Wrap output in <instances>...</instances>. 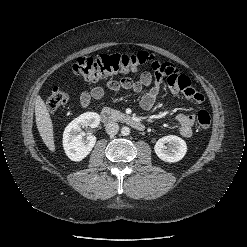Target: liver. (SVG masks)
Wrapping results in <instances>:
<instances>
[{
	"instance_id": "1",
	"label": "liver",
	"mask_w": 247,
	"mask_h": 247,
	"mask_svg": "<svg viewBox=\"0 0 247 247\" xmlns=\"http://www.w3.org/2000/svg\"><path fill=\"white\" fill-rule=\"evenodd\" d=\"M35 117L37 129L44 144L51 152H55L52 120L48 108L40 96L35 101Z\"/></svg>"
}]
</instances>
